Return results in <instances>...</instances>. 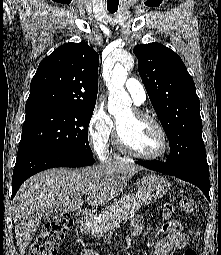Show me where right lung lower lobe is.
<instances>
[{
    "label": "right lung lower lobe",
    "mask_w": 221,
    "mask_h": 255,
    "mask_svg": "<svg viewBox=\"0 0 221 255\" xmlns=\"http://www.w3.org/2000/svg\"><path fill=\"white\" fill-rule=\"evenodd\" d=\"M93 157L55 149L21 146L18 149L12 178V198L30 176L53 167H83L92 165Z\"/></svg>",
    "instance_id": "1"
}]
</instances>
